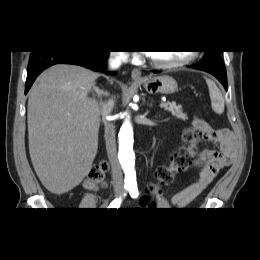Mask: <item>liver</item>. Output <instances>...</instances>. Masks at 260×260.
<instances>
[{"label":"liver","mask_w":260,"mask_h":260,"mask_svg":"<svg viewBox=\"0 0 260 260\" xmlns=\"http://www.w3.org/2000/svg\"><path fill=\"white\" fill-rule=\"evenodd\" d=\"M99 73L57 64L44 71L29 92V153L42 184L54 194L79 185L98 149L100 107L88 97Z\"/></svg>","instance_id":"6515ba94"}]
</instances>
